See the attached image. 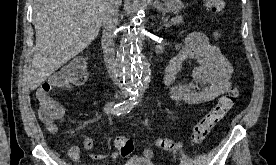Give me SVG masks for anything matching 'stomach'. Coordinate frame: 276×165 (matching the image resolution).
<instances>
[{
  "label": "stomach",
  "mask_w": 276,
  "mask_h": 165,
  "mask_svg": "<svg viewBox=\"0 0 276 165\" xmlns=\"http://www.w3.org/2000/svg\"><path fill=\"white\" fill-rule=\"evenodd\" d=\"M155 8L162 12L178 13L183 7L181 0H153Z\"/></svg>",
  "instance_id": "1"
}]
</instances>
